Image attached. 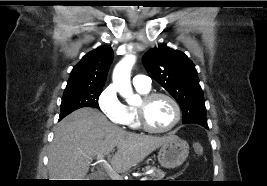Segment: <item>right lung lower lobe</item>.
<instances>
[{"instance_id":"98d812e1","label":"right lung lower lobe","mask_w":267,"mask_h":186,"mask_svg":"<svg viewBox=\"0 0 267 186\" xmlns=\"http://www.w3.org/2000/svg\"><path fill=\"white\" fill-rule=\"evenodd\" d=\"M63 117H59V120H61Z\"/></svg>"}]
</instances>
